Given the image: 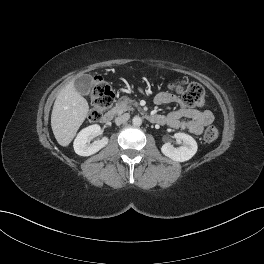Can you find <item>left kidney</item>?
I'll use <instances>...</instances> for the list:
<instances>
[{
	"label": "left kidney",
	"mask_w": 264,
	"mask_h": 264,
	"mask_svg": "<svg viewBox=\"0 0 264 264\" xmlns=\"http://www.w3.org/2000/svg\"><path fill=\"white\" fill-rule=\"evenodd\" d=\"M174 137L183 142L180 147H174L170 143H165L161 147V152L168 158L184 162L191 159L197 152V143L193 137L185 133H176Z\"/></svg>",
	"instance_id": "left-kidney-1"
}]
</instances>
